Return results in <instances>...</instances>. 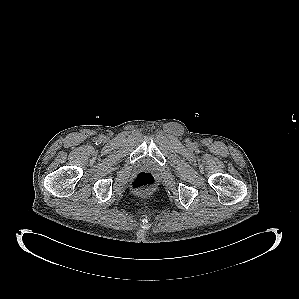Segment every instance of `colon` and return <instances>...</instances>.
<instances>
[{
	"instance_id": "colon-1",
	"label": "colon",
	"mask_w": 299,
	"mask_h": 299,
	"mask_svg": "<svg viewBox=\"0 0 299 299\" xmlns=\"http://www.w3.org/2000/svg\"><path fill=\"white\" fill-rule=\"evenodd\" d=\"M156 185V178L149 172H139L132 179V187L137 192H147Z\"/></svg>"
}]
</instances>
